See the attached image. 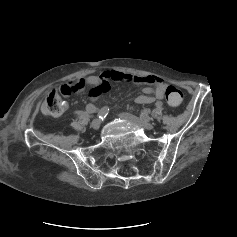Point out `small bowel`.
I'll return each mask as SVG.
<instances>
[{
    "label": "small bowel",
    "mask_w": 237,
    "mask_h": 237,
    "mask_svg": "<svg viewBox=\"0 0 237 237\" xmlns=\"http://www.w3.org/2000/svg\"><path fill=\"white\" fill-rule=\"evenodd\" d=\"M112 81L145 85L143 94L136 98V101L139 104H149L156 100L163 99L167 87L163 79L154 75L138 76L116 70H107L99 75H91L70 81L61 89H66L68 93H72L90 87V98L93 102H96L102 94L107 93L110 90V82ZM66 106L67 105L65 104V107ZM94 111L95 107L93 104L87 106L86 112L91 114Z\"/></svg>",
    "instance_id": "small-bowel-1"
}]
</instances>
